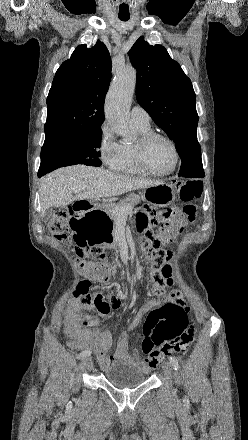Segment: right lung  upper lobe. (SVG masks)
Returning <instances> with one entry per match:
<instances>
[{"instance_id":"right-lung-upper-lobe-1","label":"right lung upper lobe","mask_w":248,"mask_h":440,"mask_svg":"<svg viewBox=\"0 0 248 440\" xmlns=\"http://www.w3.org/2000/svg\"><path fill=\"white\" fill-rule=\"evenodd\" d=\"M111 58L104 43L78 46L58 68L47 97L45 139L84 133L104 122Z\"/></svg>"}]
</instances>
